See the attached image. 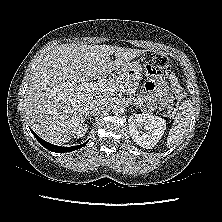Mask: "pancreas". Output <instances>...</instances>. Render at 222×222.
Returning <instances> with one entry per match:
<instances>
[{
	"mask_svg": "<svg viewBox=\"0 0 222 222\" xmlns=\"http://www.w3.org/2000/svg\"><path fill=\"white\" fill-rule=\"evenodd\" d=\"M110 83L118 84V85H120L123 88L127 87L130 90H134L135 89V85L132 84V82H130L128 80H125L123 77H120V76H114L111 79Z\"/></svg>",
	"mask_w": 222,
	"mask_h": 222,
	"instance_id": "pancreas-1",
	"label": "pancreas"
}]
</instances>
